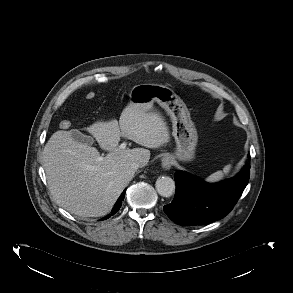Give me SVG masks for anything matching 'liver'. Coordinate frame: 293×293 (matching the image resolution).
I'll return each mask as SVG.
<instances>
[{
	"instance_id": "liver-1",
	"label": "liver",
	"mask_w": 293,
	"mask_h": 293,
	"mask_svg": "<svg viewBox=\"0 0 293 293\" xmlns=\"http://www.w3.org/2000/svg\"><path fill=\"white\" fill-rule=\"evenodd\" d=\"M109 153L99 161L94 147L75 141L71 131L55 132L44 147L42 161L50 193L56 203L80 217L108 214L132 180L133 162L150 159L145 148L120 149V137L146 148H159L170 141L169 130L158 113L127 106L119 123L97 121L86 128Z\"/></svg>"
}]
</instances>
